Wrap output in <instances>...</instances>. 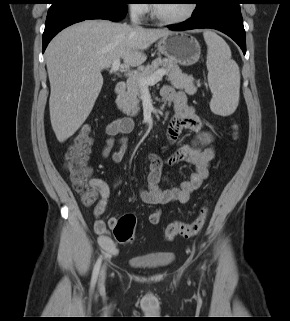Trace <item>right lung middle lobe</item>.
Returning <instances> with one entry per match:
<instances>
[{
  "mask_svg": "<svg viewBox=\"0 0 290 321\" xmlns=\"http://www.w3.org/2000/svg\"><path fill=\"white\" fill-rule=\"evenodd\" d=\"M130 0H52V5L78 4L90 7L127 6Z\"/></svg>",
  "mask_w": 290,
  "mask_h": 321,
  "instance_id": "right-lung-middle-lobe-1",
  "label": "right lung middle lobe"
}]
</instances>
